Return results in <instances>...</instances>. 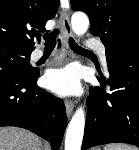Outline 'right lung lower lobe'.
Instances as JSON below:
<instances>
[{
  "instance_id": "obj_1",
  "label": "right lung lower lobe",
  "mask_w": 139,
  "mask_h": 150,
  "mask_svg": "<svg viewBox=\"0 0 139 150\" xmlns=\"http://www.w3.org/2000/svg\"><path fill=\"white\" fill-rule=\"evenodd\" d=\"M39 72L0 68V127L29 129L57 150L67 124L64 102L37 86Z\"/></svg>"
}]
</instances>
